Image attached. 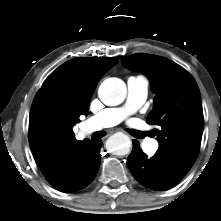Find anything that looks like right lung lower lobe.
<instances>
[{"label": "right lung lower lobe", "instance_id": "1", "mask_svg": "<svg viewBox=\"0 0 221 221\" xmlns=\"http://www.w3.org/2000/svg\"><path fill=\"white\" fill-rule=\"evenodd\" d=\"M101 146V140L87 143L61 177L55 180L46 178L47 181L62 192H74L87 187L98 172Z\"/></svg>", "mask_w": 221, "mask_h": 221}]
</instances>
